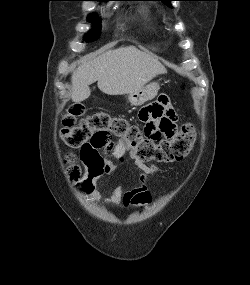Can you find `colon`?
I'll return each instance as SVG.
<instances>
[{"label":"colon","instance_id":"obj_1","mask_svg":"<svg viewBox=\"0 0 250 285\" xmlns=\"http://www.w3.org/2000/svg\"><path fill=\"white\" fill-rule=\"evenodd\" d=\"M83 112L82 105H74L62 121L61 137L74 148H111L112 137L116 136L123 139L131 155L142 162H173L183 159L195 141L196 129L191 123L183 124L176 136H168V141L156 144V141H145L142 129L123 117L96 112L78 121Z\"/></svg>","mask_w":250,"mask_h":285}]
</instances>
